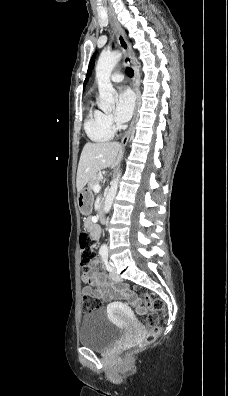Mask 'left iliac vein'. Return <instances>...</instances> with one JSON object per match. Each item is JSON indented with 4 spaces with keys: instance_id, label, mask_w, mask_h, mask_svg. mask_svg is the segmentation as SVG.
I'll list each match as a JSON object with an SVG mask.
<instances>
[{
    "instance_id": "left-iliac-vein-1",
    "label": "left iliac vein",
    "mask_w": 228,
    "mask_h": 396,
    "mask_svg": "<svg viewBox=\"0 0 228 396\" xmlns=\"http://www.w3.org/2000/svg\"><path fill=\"white\" fill-rule=\"evenodd\" d=\"M110 277L114 280V281H121L120 276L116 273L115 267H112V270L110 271Z\"/></svg>"
}]
</instances>
